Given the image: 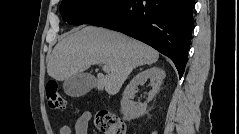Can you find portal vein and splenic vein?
I'll list each match as a JSON object with an SVG mask.
<instances>
[{"label":"portal vein and splenic vein","mask_w":239,"mask_h":134,"mask_svg":"<svg viewBox=\"0 0 239 134\" xmlns=\"http://www.w3.org/2000/svg\"><path fill=\"white\" fill-rule=\"evenodd\" d=\"M102 65V69L105 71V72H109L110 71V68L107 64H104V63H99Z\"/></svg>","instance_id":"obj_1"}]
</instances>
